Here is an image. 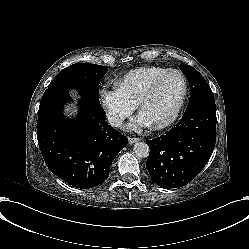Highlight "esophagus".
Instances as JSON below:
<instances>
[{
  "mask_svg": "<svg viewBox=\"0 0 249 249\" xmlns=\"http://www.w3.org/2000/svg\"><path fill=\"white\" fill-rule=\"evenodd\" d=\"M141 138H137V137H130L129 138V144L132 145L133 143H136L138 141H140Z\"/></svg>",
  "mask_w": 249,
  "mask_h": 249,
  "instance_id": "1",
  "label": "esophagus"
}]
</instances>
